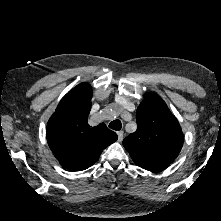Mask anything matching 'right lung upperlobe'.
Instances as JSON below:
<instances>
[{
  "mask_svg": "<svg viewBox=\"0 0 221 221\" xmlns=\"http://www.w3.org/2000/svg\"><path fill=\"white\" fill-rule=\"evenodd\" d=\"M91 99V85H77L60 101L47 124L50 149L63 167L73 171L93 165L102 151L118 139L104 123L89 126Z\"/></svg>",
  "mask_w": 221,
  "mask_h": 221,
  "instance_id": "obj_1",
  "label": "right lung upper lobe"
}]
</instances>
